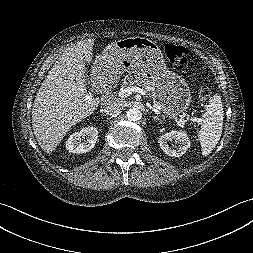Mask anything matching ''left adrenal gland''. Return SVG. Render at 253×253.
<instances>
[{"label":"left adrenal gland","mask_w":253,"mask_h":253,"mask_svg":"<svg viewBox=\"0 0 253 253\" xmlns=\"http://www.w3.org/2000/svg\"><path fill=\"white\" fill-rule=\"evenodd\" d=\"M154 120L160 121L157 116L153 117Z\"/></svg>","instance_id":"1"}]
</instances>
